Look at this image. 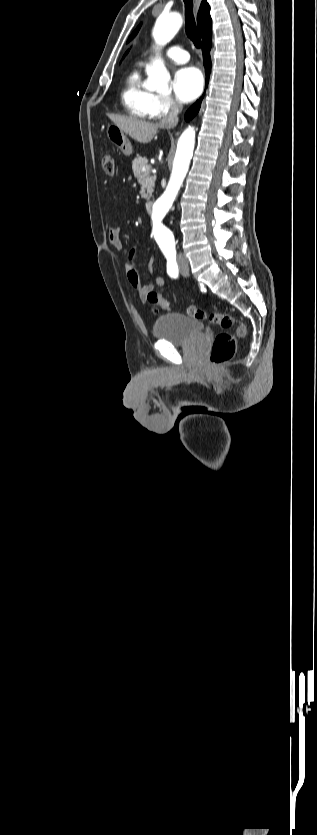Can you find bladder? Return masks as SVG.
Wrapping results in <instances>:
<instances>
[{
	"label": "bladder",
	"instance_id": "31cf9c89",
	"mask_svg": "<svg viewBox=\"0 0 317 835\" xmlns=\"http://www.w3.org/2000/svg\"><path fill=\"white\" fill-rule=\"evenodd\" d=\"M205 327L197 319L181 313L165 314L153 325L156 338L164 339L175 346L188 345L204 336Z\"/></svg>",
	"mask_w": 317,
	"mask_h": 835
}]
</instances>
